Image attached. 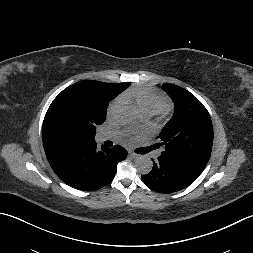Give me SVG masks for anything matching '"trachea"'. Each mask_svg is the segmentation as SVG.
<instances>
[{"label": "trachea", "mask_w": 253, "mask_h": 253, "mask_svg": "<svg viewBox=\"0 0 253 253\" xmlns=\"http://www.w3.org/2000/svg\"><path fill=\"white\" fill-rule=\"evenodd\" d=\"M149 151V149H144V150H141L140 152H137V153H139V154H144V153H146V152H148Z\"/></svg>", "instance_id": "trachea-1"}]
</instances>
